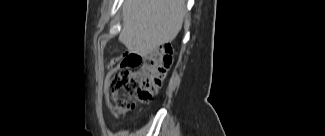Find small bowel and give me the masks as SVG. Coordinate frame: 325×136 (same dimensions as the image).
<instances>
[{"label":"small bowel","instance_id":"obj_1","mask_svg":"<svg viewBox=\"0 0 325 136\" xmlns=\"http://www.w3.org/2000/svg\"><path fill=\"white\" fill-rule=\"evenodd\" d=\"M128 52L122 53L121 62L118 63L114 59L108 66L104 88L109 91H104L103 96L106 98V105L110 110L113 109L108 98H113L114 95L117 97L119 95L117 92L122 91L120 87L123 86V83H127L128 75H131L134 69H137L139 64H143L144 62L140 53H132L133 51L131 49Z\"/></svg>","mask_w":325,"mask_h":136}]
</instances>
